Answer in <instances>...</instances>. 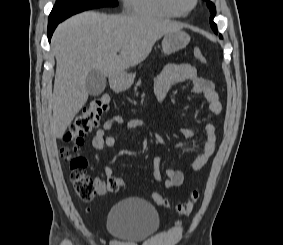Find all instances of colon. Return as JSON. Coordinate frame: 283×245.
Wrapping results in <instances>:
<instances>
[{"label": "colon", "mask_w": 283, "mask_h": 245, "mask_svg": "<svg viewBox=\"0 0 283 245\" xmlns=\"http://www.w3.org/2000/svg\"><path fill=\"white\" fill-rule=\"evenodd\" d=\"M193 55L200 63L205 64L207 62L199 48H194ZM109 108L110 98L108 96H101L92 100L75 116L63 137L64 142L70 144L69 148L61 149V154L65 156L70 170L72 189L77 198L84 202H89L95 197L96 182L86 173L87 160L79 153V147L83 144L84 137L99 124L102 116ZM71 153H73V156L69 157ZM122 185L121 178L114 176L109 178L106 183V194L117 192ZM199 197V193L193 191L187 202L175 206L176 213L180 216L189 215ZM152 199L159 206L170 207L168 201L159 193H153Z\"/></svg>", "instance_id": "1"}]
</instances>
